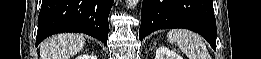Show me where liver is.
<instances>
[{
	"label": "liver",
	"instance_id": "1",
	"mask_svg": "<svg viewBox=\"0 0 261 59\" xmlns=\"http://www.w3.org/2000/svg\"><path fill=\"white\" fill-rule=\"evenodd\" d=\"M86 41L79 34H58L47 38L40 45L41 59H70L79 52Z\"/></svg>",
	"mask_w": 261,
	"mask_h": 59
}]
</instances>
